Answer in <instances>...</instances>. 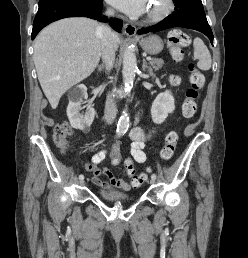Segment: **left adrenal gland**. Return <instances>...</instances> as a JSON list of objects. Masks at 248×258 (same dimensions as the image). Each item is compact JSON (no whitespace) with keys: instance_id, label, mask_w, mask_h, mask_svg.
Here are the masks:
<instances>
[{"instance_id":"obj_1","label":"left adrenal gland","mask_w":248,"mask_h":258,"mask_svg":"<svg viewBox=\"0 0 248 258\" xmlns=\"http://www.w3.org/2000/svg\"><path fill=\"white\" fill-rule=\"evenodd\" d=\"M142 69H143L144 71H145V69H146V70L148 71V74H149V75H152V74H153L152 68L147 65V62H146L145 59H143Z\"/></svg>"}]
</instances>
